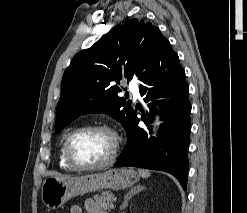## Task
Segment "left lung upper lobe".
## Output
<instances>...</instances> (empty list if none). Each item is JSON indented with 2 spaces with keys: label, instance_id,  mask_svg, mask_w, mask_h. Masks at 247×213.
Listing matches in <instances>:
<instances>
[{
  "label": "left lung upper lobe",
  "instance_id": "5c2ea615",
  "mask_svg": "<svg viewBox=\"0 0 247 213\" xmlns=\"http://www.w3.org/2000/svg\"><path fill=\"white\" fill-rule=\"evenodd\" d=\"M174 51L160 30L137 19L116 25L89 49L77 53L62 79L56 132L82 114L107 113L126 128L134 113L130 101L119 97L122 74L141 80L154 64Z\"/></svg>",
  "mask_w": 247,
  "mask_h": 213
}]
</instances>
